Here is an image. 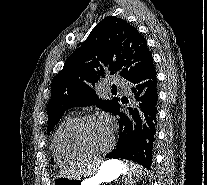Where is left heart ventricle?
Listing matches in <instances>:
<instances>
[{
	"mask_svg": "<svg viewBox=\"0 0 207 185\" xmlns=\"http://www.w3.org/2000/svg\"><path fill=\"white\" fill-rule=\"evenodd\" d=\"M76 141L87 150L103 151L111 143V128L101 120L87 121L77 130Z\"/></svg>",
	"mask_w": 207,
	"mask_h": 185,
	"instance_id": "left-heart-ventricle-1",
	"label": "left heart ventricle"
}]
</instances>
